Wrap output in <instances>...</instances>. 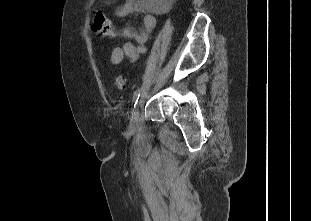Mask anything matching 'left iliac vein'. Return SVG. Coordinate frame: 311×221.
<instances>
[{"label":"left iliac vein","instance_id":"obj_1","mask_svg":"<svg viewBox=\"0 0 311 221\" xmlns=\"http://www.w3.org/2000/svg\"><path fill=\"white\" fill-rule=\"evenodd\" d=\"M139 122H140V113H139V108L137 105L133 110L132 120L130 123V129L135 131L139 126Z\"/></svg>","mask_w":311,"mask_h":221}]
</instances>
